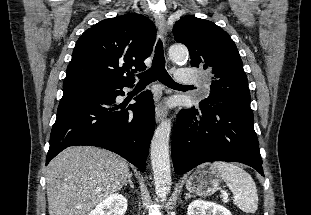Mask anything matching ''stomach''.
<instances>
[{"mask_svg":"<svg viewBox=\"0 0 311 215\" xmlns=\"http://www.w3.org/2000/svg\"><path fill=\"white\" fill-rule=\"evenodd\" d=\"M220 181L218 171L211 164H203L186 180V189L198 196H210L219 188Z\"/></svg>","mask_w":311,"mask_h":215,"instance_id":"stomach-1","label":"stomach"}]
</instances>
